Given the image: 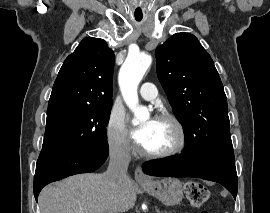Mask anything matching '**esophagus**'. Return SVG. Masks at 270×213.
I'll list each match as a JSON object with an SVG mask.
<instances>
[{"label": "esophagus", "mask_w": 270, "mask_h": 213, "mask_svg": "<svg viewBox=\"0 0 270 213\" xmlns=\"http://www.w3.org/2000/svg\"><path fill=\"white\" fill-rule=\"evenodd\" d=\"M134 175L137 182H150V178L143 172L140 166L136 167Z\"/></svg>", "instance_id": "obj_1"}]
</instances>
